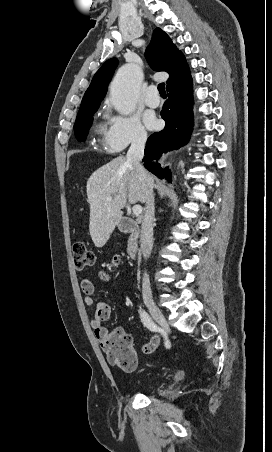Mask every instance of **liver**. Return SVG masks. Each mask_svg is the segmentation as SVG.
<instances>
[{
    "instance_id": "6515ba94",
    "label": "liver",
    "mask_w": 272,
    "mask_h": 452,
    "mask_svg": "<svg viewBox=\"0 0 272 452\" xmlns=\"http://www.w3.org/2000/svg\"><path fill=\"white\" fill-rule=\"evenodd\" d=\"M153 181V179H152ZM89 231L96 247H103L122 219L127 199L143 202V181L124 156L97 169L88 179ZM111 201L107 197L113 196Z\"/></svg>"
}]
</instances>
